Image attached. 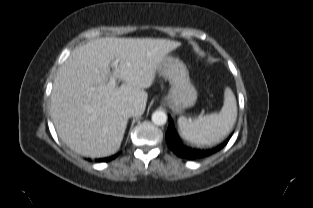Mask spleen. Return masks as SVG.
<instances>
[{"mask_svg":"<svg viewBox=\"0 0 313 208\" xmlns=\"http://www.w3.org/2000/svg\"><path fill=\"white\" fill-rule=\"evenodd\" d=\"M237 114L235 96L230 88L225 89L224 104L220 112L196 119L178 118L179 131L185 141L197 145H212L220 142L231 130Z\"/></svg>","mask_w":313,"mask_h":208,"instance_id":"spleen-1","label":"spleen"}]
</instances>
